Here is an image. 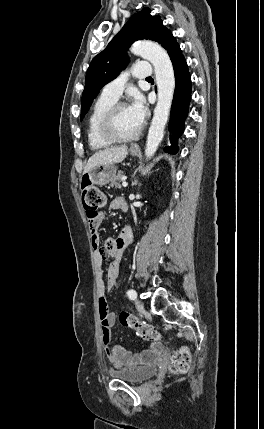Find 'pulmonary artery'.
<instances>
[{
	"mask_svg": "<svg viewBox=\"0 0 264 429\" xmlns=\"http://www.w3.org/2000/svg\"><path fill=\"white\" fill-rule=\"evenodd\" d=\"M132 75L139 79H146L152 75V67L146 61L136 63L132 68ZM127 73L107 83L102 89V95L118 100L121 96L127 81Z\"/></svg>",
	"mask_w": 264,
	"mask_h": 429,
	"instance_id": "e3ab8cb5",
	"label": "pulmonary artery"
}]
</instances>
